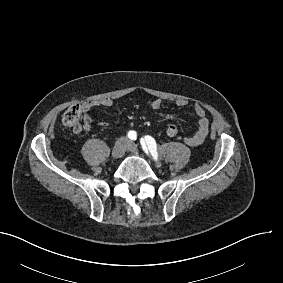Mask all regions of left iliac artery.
Here are the masks:
<instances>
[{
    "mask_svg": "<svg viewBox=\"0 0 283 283\" xmlns=\"http://www.w3.org/2000/svg\"><path fill=\"white\" fill-rule=\"evenodd\" d=\"M140 143L142 145V149L145 151V153L148 154V151L152 154L153 158L157 160L158 154H157V144L154 138L151 136H145V138L140 140Z\"/></svg>",
    "mask_w": 283,
    "mask_h": 283,
    "instance_id": "1",
    "label": "left iliac artery"
}]
</instances>
